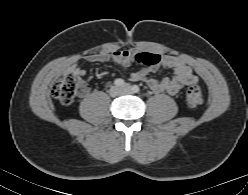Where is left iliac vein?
Instances as JSON below:
<instances>
[{
  "instance_id": "obj_1",
  "label": "left iliac vein",
  "mask_w": 248,
  "mask_h": 195,
  "mask_svg": "<svg viewBox=\"0 0 248 195\" xmlns=\"http://www.w3.org/2000/svg\"><path fill=\"white\" fill-rule=\"evenodd\" d=\"M122 90L124 91V92H126V93H129V92H131L132 91V87L130 86V85H125L123 88H122Z\"/></svg>"
}]
</instances>
